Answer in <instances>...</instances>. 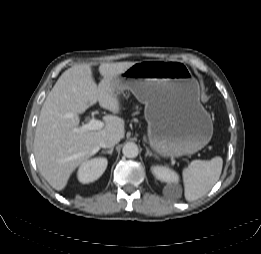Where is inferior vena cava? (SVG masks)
I'll return each instance as SVG.
<instances>
[{"mask_svg": "<svg viewBox=\"0 0 261 254\" xmlns=\"http://www.w3.org/2000/svg\"><path fill=\"white\" fill-rule=\"evenodd\" d=\"M119 141L120 137L118 135H107L101 140L100 146L103 148H112Z\"/></svg>", "mask_w": 261, "mask_h": 254, "instance_id": "inferior-vena-cava-1", "label": "inferior vena cava"}]
</instances>
